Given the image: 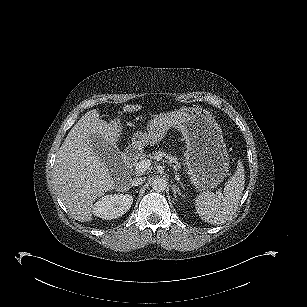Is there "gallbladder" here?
<instances>
[{
	"label": "gallbladder",
	"instance_id": "obj_1",
	"mask_svg": "<svg viewBox=\"0 0 307 307\" xmlns=\"http://www.w3.org/2000/svg\"><path fill=\"white\" fill-rule=\"evenodd\" d=\"M93 150L97 155H99L102 159H104L106 162H108V159L112 156H118L119 153H116L117 150L107 146L105 142H103L101 139H96L93 142ZM115 154V155H114Z\"/></svg>",
	"mask_w": 307,
	"mask_h": 307
}]
</instances>
